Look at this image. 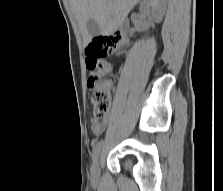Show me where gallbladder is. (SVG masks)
Returning <instances> with one entry per match:
<instances>
[{
    "label": "gallbladder",
    "mask_w": 223,
    "mask_h": 191,
    "mask_svg": "<svg viewBox=\"0 0 223 191\" xmlns=\"http://www.w3.org/2000/svg\"><path fill=\"white\" fill-rule=\"evenodd\" d=\"M87 31L90 36L95 37L99 35L100 27L95 20L89 19L87 22Z\"/></svg>",
    "instance_id": "gallbladder-1"
}]
</instances>
